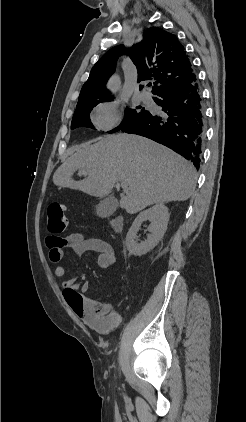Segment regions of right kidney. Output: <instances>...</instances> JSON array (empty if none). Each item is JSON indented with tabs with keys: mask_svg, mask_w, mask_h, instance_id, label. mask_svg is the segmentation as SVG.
Listing matches in <instances>:
<instances>
[{
	"mask_svg": "<svg viewBox=\"0 0 246 422\" xmlns=\"http://www.w3.org/2000/svg\"><path fill=\"white\" fill-rule=\"evenodd\" d=\"M169 216L168 208L163 203L156 204L152 208L141 212L135 218L126 236V246L129 253L134 256H142L151 251L164 236ZM144 221L150 222L148 226L150 234L147 240L138 243L136 240L137 233Z\"/></svg>",
	"mask_w": 246,
	"mask_h": 422,
	"instance_id": "ca27d5eb",
	"label": "right kidney"
}]
</instances>
